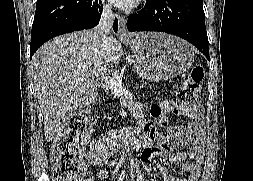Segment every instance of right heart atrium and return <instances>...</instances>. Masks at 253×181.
Wrapping results in <instances>:
<instances>
[{"instance_id":"d8ad5b80","label":"right heart atrium","mask_w":253,"mask_h":181,"mask_svg":"<svg viewBox=\"0 0 253 181\" xmlns=\"http://www.w3.org/2000/svg\"><path fill=\"white\" fill-rule=\"evenodd\" d=\"M105 9L106 10H109L110 9V6L107 4V5H105Z\"/></svg>"}]
</instances>
